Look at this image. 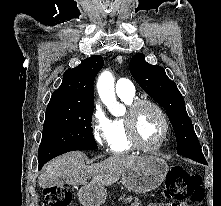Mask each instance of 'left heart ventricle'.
I'll use <instances>...</instances> for the list:
<instances>
[{"label":"left heart ventricle","instance_id":"obj_1","mask_svg":"<svg viewBox=\"0 0 221 206\" xmlns=\"http://www.w3.org/2000/svg\"><path fill=\"white\" fill-rule=\"evenodd\" d=\"M137 129L143 144L156 145L163 135V122L151 107H141L137 113Z\"/></svg>","mask_w":221,"mask_h":206}]
</instances>
